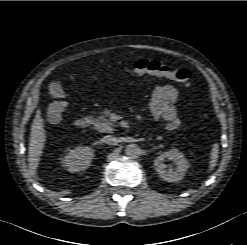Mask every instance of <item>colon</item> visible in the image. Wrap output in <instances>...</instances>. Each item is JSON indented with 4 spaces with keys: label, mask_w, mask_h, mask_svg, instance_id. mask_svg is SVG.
I'll use <instances>...</instances> for the list:
<instances>
[{
    "label": "colon",
    "mask_w": 247,
    "mask_h": 245,
    "mask_svg": "<svg viewBox=\"0 0 247 245\" xmlns=\"http://www.w3.org/2000/svg\"><path fill=\"white\" fill-rule=\"evenodd\" d=\"M125 71L142 76L154 75L165 77L180 83L187 88L190 85V71L186 68L173 69L169 65L156 59H139L131 65L125 67ZM49 94L52 102L47 109V119L51 123H57L61 120L65 110V92L59 83H53L49 87ZM182 126V119L178 116L167 121L169 130H176Z\"/></svg>",
    "instance_id": "5ec220e1"
}]
</instances>
